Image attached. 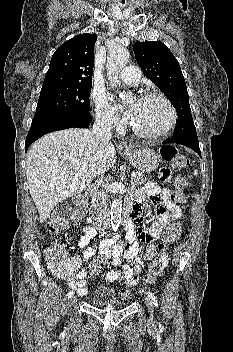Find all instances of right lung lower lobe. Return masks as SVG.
I'll use <instances>...</instances> for the list:
<instances>
[{
  "mask_svg": "<svg viewBox=\"0 0 233 352\" xmlns=\"http://www.w3.org/2000/svg\"><path fill=\"white\" fill-rule=\"evenodd\" d=\"M91 121L90 113L51 116L35 120L26 138L25 152L34 141L47 133L72 127L88 128Z\"/></svg>",
  "mask_w": 233,
  "mask_h": 352,
  "instance_id": "1",
  "label": "right lung lower lobe"
}]
</instances>
